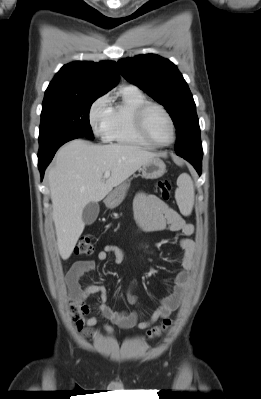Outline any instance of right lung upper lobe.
Masks as SVG:
<instances>
[{"label": "right lung upper lobe", "mask_w": 261, "mask_h": 399, "mask_svg": "<svg viewBox=\"0 0 261 399\" xmlns=\"http://www.w3.org/2000/svg\"><path fill=\"white\" fill-rule=\"evenodd\" d=\"M119 81L113 61H76L64 65L45 91V97L102 96Z\"/></svg>", "instance_id": "cb5924a9"}]
</instances>
